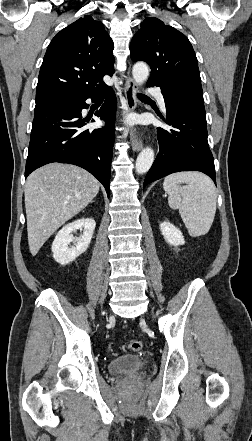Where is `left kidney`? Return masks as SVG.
Returning <instances> with one entry per match:
<instances>
[{"label":"left kidney","mask_w":252,"mask_h":441,"mask_svg":"<svg viewBox=\"0 0 252 441\" xmlns=\"http://www.w3.org/2000/svg\"><path fill=\"white\" fill-rule=\"evenodd\" d=\"M161 233L168 244L179 246L185 244L182 232L169 221L160 224Z\"/></svg>","instance_id":"5707ae66"}]
</instances>
